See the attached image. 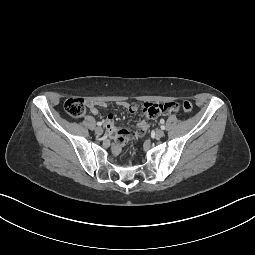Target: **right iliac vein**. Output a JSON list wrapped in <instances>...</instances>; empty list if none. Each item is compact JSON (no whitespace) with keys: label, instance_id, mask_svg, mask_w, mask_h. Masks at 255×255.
<instances>
[{"label":"right iliac vein","instance_id":"1","mask_svg":"<svg viewBox=\"0 0 255 255\" xmlns=\"http://www.w3.org/2000/svg\"><path fill=\"white\" fill-rule=\"evenodd\" d=\"M95 133H96L97 135H101V134L103 133V129H102L101 127H97V128L95 129Z\"/></svg>","mask_w":255,"mask_h":255}]
</instances>
